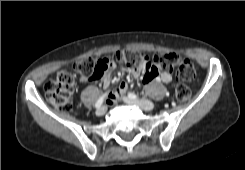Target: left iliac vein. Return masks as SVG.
Segmentation results:
<instances>
[{
	"instance_id": "1",
	"label": "left iliac vein",
	"mask_w": 245,
	"mask_h": 170,
	"mask_svg": "<svg viewBox=\"0 0 245 170\" xmlns=\"http://www.w3.org/2000/svg\"><path fill=\"white\" fill-rule=\"evenodd\" d=\"M123 101L127 104L130 105H135L138 106L140 108H142L143 110L149 111L152 110L154 108V105L152 102L148 101L147 104L143 101V100H134L128 97H122Z\"/></svg>"
}]
</instances>
